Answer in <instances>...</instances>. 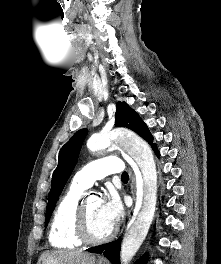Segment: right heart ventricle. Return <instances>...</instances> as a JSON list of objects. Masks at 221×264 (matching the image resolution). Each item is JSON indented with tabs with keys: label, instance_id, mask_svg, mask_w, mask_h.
Here are the masks:
<instances>
[{
	"label": "right heart ventricle",
	"instance_id": "obj_1",
	"mask_svg": "<svg viewBox=\"0 0 221 264\" xmlns=\"http://www.w3.org/2000/svg\"><path fill=\"white\" fill-rule=\"evenodd\" d=\"M85 188L72 182L60 199L54 212L49 241L59 249L72 250L79 248L82 242L77 238L74 229L75 211Z\"/></svg>",
	"mask_w": 221,
	"mask_h": 264
}]
</instances>
